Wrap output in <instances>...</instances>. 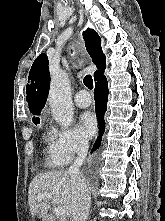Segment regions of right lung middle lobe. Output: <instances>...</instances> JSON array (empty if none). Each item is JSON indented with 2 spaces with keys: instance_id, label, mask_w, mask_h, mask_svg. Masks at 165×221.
<instances>
[{
  "instance_id": "obj_1",
  "label": "right lung middle lobe",
  "mask_w": 165,
  "mask_h": 221,
  "mask_svg": "<svg viewBox=\"0 0 165 221\" xmlns=\"http://www.w3.org/2000/svg\"><path fill=\"white\" fill-rule=\"evenodd\" d=\"M33 122H34V124H37L40 122V120H39V118H37V119H34Z\"/></svg>"
}]
</instances>
